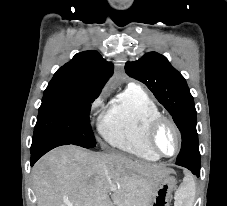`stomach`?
Listing matches in <instances>:
<instances>
[{"instance_id":"0dacf381","label":"stomach","mask_w":227,"mask_h":206,"mask_svg":"<svg viewBox=\"0 0 227 206\" xmlns=\"http://www.w3.org/2000/svg\"><path fill=\"white\" fill-rule=\"evenodd\" d=\"M176 187V179L165 177L156 188L150 206H170V197Z\"/></svg>"}]
</instances>
